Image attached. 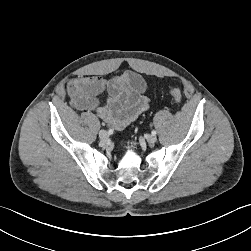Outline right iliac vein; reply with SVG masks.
Segmentation results:
<instances>
[{"instance_id":"63e3f726","label":"right iliac vein","mask_w":251,"mask_h":251,"mask_svg":"<svg viewBox=\"0 0 251 251\" xmlns=\"http://www.w3.org/2000/svg\"><path fill=\"white\" fill-rule=\"evenodd\" d=\"M99 137H100V139H101L102 141H106V140L108 139V137H109V134H108L107 131L101 130V131L99 132Z\"/></svg>"}]
</instances>
